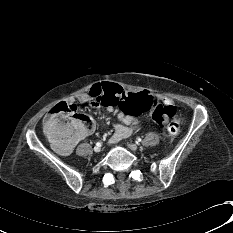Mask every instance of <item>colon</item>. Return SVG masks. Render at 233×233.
I'll return each instance as SVG.
<instances>
[{
	"label": "colon",
	"mask_w": 233,
	"mask_h": 233,
	"mask_svg": "<svg viewBox=\"0 0 233 233\" xmlns=\"http://www.w3.org/2000/svg\"><path fill=\"white\" fill-rule=\"evenodd\" d=\"M90 93L94 101L110 104L130 116L149 111L151 119L165 126L171 136H177L181 131V120L176 115V108L173 105L159 104L153 93L147 89L135 92L126 89L121 83L100 82L92 86ZM92 130L91 117L77 112L74 106L65 103L54 106L45 123L47 135L55 144L62 147L71 144L62 141L85 138Z\"/></svg>",
	"instance_id": "colon-1"
}]
</instances>
